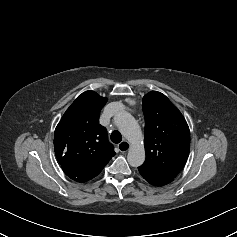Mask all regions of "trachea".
I'll use <instances>...</instances> for the list:
<instances>
[{
  "mask_svg": "<svg viewBox=\"0 0 237 237\" xmlns=\"http://www.w3.org/2000/svg\"><path fill=\"white\" fill-rule=\"evenodd\" d=\"M110 138H111V141H112V142H114V143H120L121 140H122V135H121L120 132L114 131V132H112Z\"/></svg>",
  "mask_w": 237,
  "mask_h": 237,
  "instance_id": "3493384b",
  "label": "trachea"
}]
</instances>
